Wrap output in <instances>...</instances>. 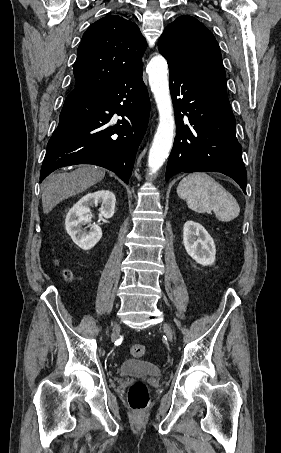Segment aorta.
I'll use <instances>...</instances> for the list:
<instances>
[{
	"instance_id": "obj_1",
	"label": "aorta",
	"mask_w": 281,
	"mask_h": 453,
	"mask_svg": "<svg viewBox=\"0 0 281 453\" xmlns=\"http://www.w3.org/2000/svg\"><path fill=\"white\" fill-rule=\"evenodd\" d=\"M146 70L159 113L157 131L148 156L150 174H154L163 165L172 148L175 118L169 90L166 60L162 56H154L148 63Z\"/></svg>"
}]
</instances>
